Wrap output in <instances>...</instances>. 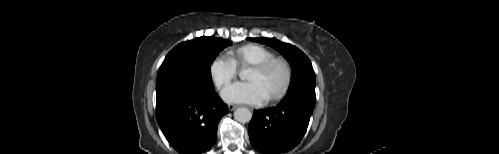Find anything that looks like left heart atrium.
Returning <instances> with one entry per match:
<instances>
[{
  "label": "left heart atrium",
  "instance_id": "39dd6f15",
  "mask_svg": "<svg viewBox=\"0 0 499 154\" xmlns=\"http://www.w3.org/2000/svg\"><path fill=\"white\" fill-rule=\"evenodd\" d=\"M222 98L231 103L259 105L267 100L262 87L253 81L235 82L222 91Z\"/></svg>",
  "mask_w": 499,
  "mask_h": 154
}]
</instances>
